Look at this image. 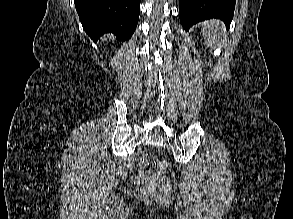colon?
<instances>
[{
	"label": "colon",
	"instance_id": "obj_1",
	"mask_svg": "<svg viewBox=\"0 0 293 219\" xmlns=\"http://www.w3.org/2000/svg\"><path fill=\"white\" fill-rule=\"evenodd\" d=\"M140 166L143 170L149 172L159 171L162 172L167 169V162L164 160H159L156 156L150 154H143L140 158ZM152 192L151 187L143 182L138 181L134 186V194L137 197H145Z\"/></svg>",
	"mask_w": 293,
	"mask_h": 219
}]
</instances>
